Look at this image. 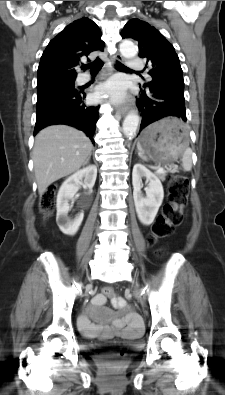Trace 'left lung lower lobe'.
Wrapping results in <instances>:
<instances>
[{"label":"left lung lower lobe","mask_w":225,"mask_h":395,"mask_svg":"<svg viewBox=\"0 0 225 395\" xmlns=\"http://www.w3.org/2000/svg\"><path fill=\"white\" fill-rule=\"evenodd\" d=\"M137 106L142 112L140 130L167 116L179 118L182 124L186 121L184 92L179 88L141 91Z\"/></svg>","instance_id":"left-lung-lower-lobe-1"}]
</instances>
